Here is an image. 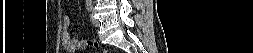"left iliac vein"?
Returning <instances> with one entry per match:
<instances>
[{"label": "left iliac vein", "instance_id": "1", "mask_svg": "<svg viewBox=\"0 0 253 53\" xmlns=\"http://www.w3.org/2000/svg\"><path fill=\"white\" fill-rule=\"evenodd\" d=\"M90 19H91V22H92V24H93L94 26L98 27V26L100 25L99 20L96 19V18L93 16V14H91Z\"/></svg>", "mask_w": 253, "mask_h": 53}]
</instances>
